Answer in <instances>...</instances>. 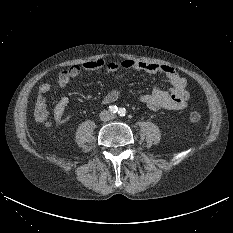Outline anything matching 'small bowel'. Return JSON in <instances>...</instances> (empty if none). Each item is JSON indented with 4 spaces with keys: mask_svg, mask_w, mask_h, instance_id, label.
Segmentation results:
<instances>
[{
    "mask_svg": "<svg viewBox=\"0 0 233 233\" xmlns=\"http://www.w3.org/2000/svg\"><path fill=\"white\" fill-rule=\"evenodd\" d=\"M106 70L113 73L116 80H121L125 76V72L142 71L150 74H161L170 83V88L165 90L160 84L156 85L152 92L142 95L140 100L150 110H180L187 106L190 94L187 90V79L178 74L176 70L168 65H161L150 62L134 61L124 59L120 61L108 62L105 59L98 58L86 61L81 65H74L68 70L61 72L57 78L59 87H66L69 82L77 78L83 71ZM51 84L46 82L39 86L38 96L35 103L34 116L37 121L44 123L46 127H51L52 122L47 119L46 96L51 90ZM121 95L118 88L107 92L101 99V104H110L115 102ZM68 98L63 96L59 99L53 109V118L56 124H60L68 105ZM44 111V117L39 118V113Z\"/></svg>",
    "mask_w": 233,
    "mask_h": 233,
    "instance_id": "1",
    "label": "small bowel"
}]
</instances>
